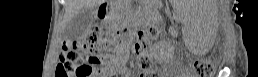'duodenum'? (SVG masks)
<instances>
[{
    "label": "duodenum",
    "mask_w": 258,
    "mask_h": 77,
    "mask_svg": "<svg viewBox=\"0 0 258 77\" xmlns=\"http://www.w3.org/2000/svg\"><path fill=\"white\" fill-rule=\"evenodd\" d=\"M101 9H102V12H103V14H106L107 13V7L105 6V5H103L102 7H101Z\"/></svg>",
    "instance_id": "obj_1"
}]
</instances>
